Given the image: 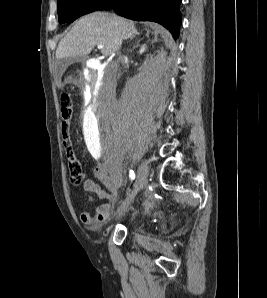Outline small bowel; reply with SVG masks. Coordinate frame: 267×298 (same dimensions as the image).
Masks as SVG:
<instances>
[{
    "instance_id": "c3829d8e",
    "label": "small bowel",
    "mask_w": 267,
    "mask_h": 298,
    "mask_svg": "<svg viewBox=\"0 0 267 298\" xmlns=\"http://www.w3.org/2000/svg\"><path fill=\"white\" fill-rule=\"evenodd\" d=\"M99 176H102L100 171H97ZM121 183L116 181L110 185L109 191L102 189L92 179H87L84 182L83 188L85 191L95 193L100 199L105 202L98 206L94 214L84 211L80 214V220L83 224L90 227H99L106 222L111 214L113 204L117 200Z\"/></svg>"
}]
</instances>
